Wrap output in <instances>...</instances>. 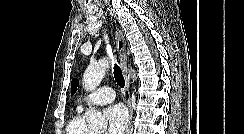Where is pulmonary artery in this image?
I'll use <instances>...</instances> for the list:
<instances>
[{"label": "pulmonary artery", "instance_id": "pulmonary-artery-1", "mask_svg": "<svg viewBox=\"0 0 244 134\" xmlns=\"http://www.w3.org/2000/svg\"><path fill=\"white\" fill-rule=\"evenodd\" d=\"M115 100V92L110 87H102L85 96L80 102L78 109L82 110L91 105H104Z\"/></svg>", "mask_w": 244, "mask_h": 134}]
</instances>
